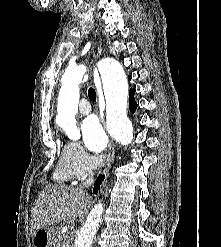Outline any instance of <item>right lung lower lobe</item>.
Wrapping results in <instances>:
<instances>
[{
	"label": "right lung lower lobe",
	"mask_w": 221,
	"mask_h": 247,
	"mask_svg": "<svg viewBox=\"0 0 221 247\" xmlns=\"http://www.w3.org/2000/svg\"><path fill=\"white\" fill-rule=\"evenodd\" d=\"M104 180V175H100L97 180H96V183L94 185V188H93V193L94 194H97L98 192V189L100 188V185H101V182Z\"/></svg>",
	"instance_id": "right-lung-lower-lobe-1"
}]
</instances>
